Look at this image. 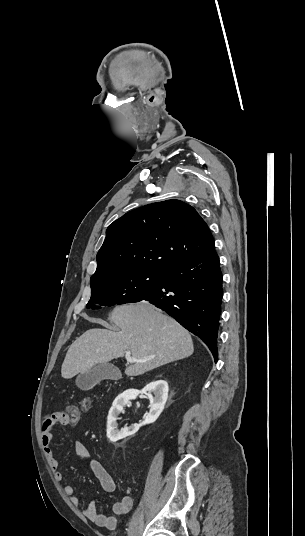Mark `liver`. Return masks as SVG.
I'll return each mask as SVG.
<instances>
[{
    "mask_svg": "<svg viewBox=\"0 0 305 536\" xmlns=\"http://www.w3.org/2000/svg\"><path fill=\"white\" fill-rule=\"evenodd\" d=\"M121 332L111 330H87L71 344L61 368L65 380L77 374H87L97 364H107L114 358L131 354L133 366L125 370L126 376H140L149 370L183 360L194 352L192 338L173 318L164 316L150 304H125L116 306L110 318ZM105 326L104 320H93Z\"/></svg>",
    "mask_w": 305,
    "mask_h": 536,
    "instance_id": "obj_1",
    "label": "liver"
}]
</instances>
